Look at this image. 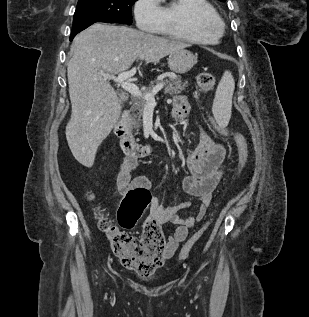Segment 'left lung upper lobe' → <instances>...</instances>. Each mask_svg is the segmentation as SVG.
I'll list each match as a JSON object with an SVG mask.
<instances>
[{
    "label": "left lung upper lobe",
    "instance_id": "1",
    "mask_svg": "<svg viewBox=\"0 0 309 317\" xmlns=\"http://www.w3.org/2000/svg\"><path fill=\"white\" fill-rule=\"evenodd\" d=\"M219 1H222V2H224V1H226V0H219Z\"/></svg>",
    "mask_w": 309,
    "mask_h": 317
}]
</instances>
